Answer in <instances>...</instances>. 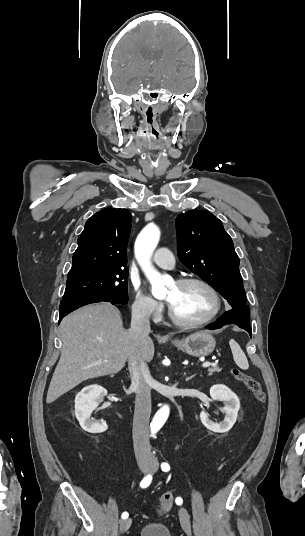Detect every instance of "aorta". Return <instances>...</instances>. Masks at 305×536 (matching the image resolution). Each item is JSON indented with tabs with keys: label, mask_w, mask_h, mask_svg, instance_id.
<instances>
[{
	"label": "aorta",
	"mask_w": 305,
	"mask_h": 536,
	"mask_svg": "<svg viewBox=\"0 0 305 536\" xmlns=\"http://www.w3.org/2000/svg\"><path fill=\"white\" fill-rule=\"evenodd\" d=\"M159 239V228L156 225H148L140 232L134 246L135 257L152 286V295L155 298L164 297L170 283V280L156 271L151 263V256ZM169 413V406L163 405L152 420V428L160 429L168 419Z\"/></svg>",
	"instance_id": "obj_1"
}]
</instances>
